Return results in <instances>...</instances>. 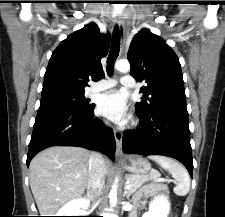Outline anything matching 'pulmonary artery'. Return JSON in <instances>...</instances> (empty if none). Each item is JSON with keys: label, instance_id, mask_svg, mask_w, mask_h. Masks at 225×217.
Listing matches in <instances>:
<instances>
[{"label": "pulmonary artery", "instance_id": "pulmonary-artery-1", "mask_svg": "<svg viewBox=\"0 0 225 217\" xmlns=\"http://www.w3.org/2000/svg\"><path fill=\"white\" fill-rule=\"evenodd\" d=\"M120 82H121V84H123L124 86H127V87L134 86L133 80L130 77H123V78H121ZM116 83L117 82L114 79L103 80V81L93 85L89 89V93H96V92L110 89V88L114 87L116 85Z\"/></svg>", "mask_w": 225, "mask_h": 217}]
</instances>
